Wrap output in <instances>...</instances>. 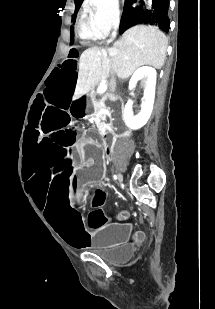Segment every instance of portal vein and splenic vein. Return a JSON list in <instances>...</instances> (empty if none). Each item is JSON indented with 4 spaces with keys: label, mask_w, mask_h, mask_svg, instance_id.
Instances as JSON below:
<instances>
[{
    "label": "portal vein and splenic vein",
    "mask_w": 215,
    "mask_h": 309,
    "mask_svg": "<svg viewBox=\"0 0 215 309\" xmlns=\"http://www.w3.org/2000/svg\"><path fill=\"white\" fill-rule=\"evenodd\" d=\"M106 88H107V86L104 82V84H101V86H98L97 92H99V94H103V92H105Z\"/></svg>",
    "instance_id": "1"
}]
</instances>
